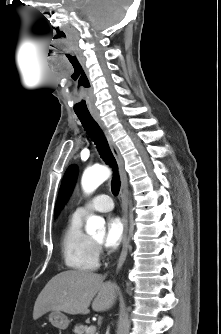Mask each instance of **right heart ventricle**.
I'll use <instances>...</instances> for the list:
<instances>
[{"label":"right heart ventricle","instance_id":"right-heart-ventricle-1","mask_svg":"<svg viewBox=\"0 0 221 334\" xmlns=\"http://www.w3.org/2000/svg\"><path fill=\"white\" fill-rule=\"evenodd\" d=\"M62 253L66 266L79 272L99 267V253L95 242L82 229V217H70L62 235Z\"/></svg>","mask_w":221,"mask_h":334}]
</instances>
